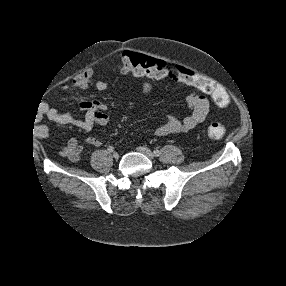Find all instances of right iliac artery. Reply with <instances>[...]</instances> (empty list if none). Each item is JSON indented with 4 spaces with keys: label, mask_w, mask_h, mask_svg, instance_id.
I'll return each mask as SVG.
<instances>
[{
    "label": "right iliac artery",
    "mask_w": 286,
    "mask_h": 286,
    "mask_svg": "<svg viewBox=\"0 0 286 286\" xmlns=\"http://www.w3.org/2000/svg\"><path fill=\"white\" fill-rule=\"evenodd\" d=\"M113 150H114V148H113L112 146H109V147H108V151H109V152H113Z\"/></svg>",
    "instance_id": "obj_1"
}]
</instances>
